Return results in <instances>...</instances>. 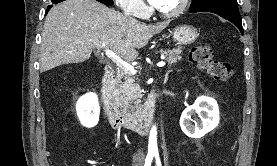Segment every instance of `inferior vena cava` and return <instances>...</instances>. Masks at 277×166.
Here are the masks:
<instances>
[{"label":"inferior vena cava","instance_id":"obj_1","mask_svg":"<svg viewBox=\"0 0 277 166\" xmlns=\"http://www.w3.org/2000/svg\"><path fill=\"white\" fill-rule=\"evenodd\" d=\"M125 15H126V16H129V13L125 12ZM130 20L134 21V19H133V18H131V17H130ZM136 156H138V157H142V156H143V152H142V150H138V152H137Z\"/></svg>","mask_w":277,"mask_h":166}]
</instances>
